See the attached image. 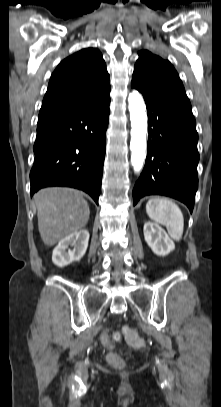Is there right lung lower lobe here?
I'll return each instance as SVG.
<instances>
[{
    "instance_id": "right-lung-lower-lobe-1",
    "label": "right lung lower lobe",
    "mask_w": 221,
    "mask_h": 407,
    "mask_svg": "<svg viewBox=\"0 0 221 407\" xmlns=\"http://www.w3.org/2000/svg\"><path fill=\"white\" fill-rule=\"evenodd\" d=\"M110 96L86 107L38 120L30 172L31 196L48 186L73 187L98 204Z\"/></svg>"
}]
</instances>
